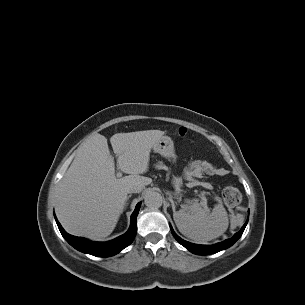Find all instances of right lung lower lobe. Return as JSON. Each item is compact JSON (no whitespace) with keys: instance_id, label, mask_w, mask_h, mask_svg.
<instances>
[{"instance_id":"right-lung-lower-lobe-1","label":"right lung lower lobe","mask_w":305,"mask_h":305,"mask_svg":"<svg viewBox=\"0 0 305 305\" xmlns=\"http://www.w3.org/2000/svg\"><path fill=\"white\" fill-rule=\"evenodd\" d=\"M140 204L141 203L137 204L131 215V225L129 230L125 234L108 242H92L81 237L72 236L65 232L55 214L54 216L62 236L75 249L93 256L109 257L119 253L133 242L137 232L136 218L140 209Z\"/></svg>"}]
</instances>
